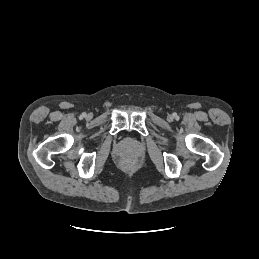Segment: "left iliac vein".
Returning a JSON list of instances; mask_svg holds the SVG:
<instances>
[{
    "label": "left iliac vein",
    "instance_id": "left-iliac-vein-1",
    "mask_svg": "<svg viewBox=\"0 0 259 259\" xmlns=\"http://www.w3.org/2000/svg\"><path fill=\"white\" fill-rule=\"evenodd\" d=\"M167 119H168V121H171V120L173 119V117H172L171 115H169V116L167 117Z\"/></svg>",
    "mask_w": 259,
    "mask_h": 259
}]
</instances>
